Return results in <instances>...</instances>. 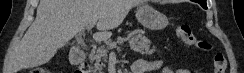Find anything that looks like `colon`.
<instances>
[{
  "label": "colon",
  "mask_w": 244,
  "mask_h": 73,
  "mask_svg": "<svg viewBox=\"0 0 244 73\" xmlns=\"http://www.w3.org/2000/svg\"><path fill=\"white\" fill-rule=\"evenodd\" d=\"M176 35L178 39L185 45L193 48L208 49L210 45L205 41H200L194 35L190 25L186 23H178L176 25ZM213 66L215 73H226L227 61L222 53H216L213 57ZM31 73H46L41 68H35Z\"/></svg>",
  "instance_id": "1"
}]
</instances>
